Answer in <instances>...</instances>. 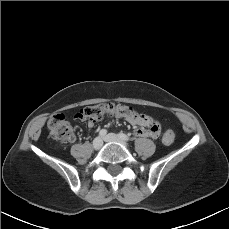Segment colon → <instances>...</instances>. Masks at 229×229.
Returning <instances> with one entry per match:
<instances>
[{
    "label": "colon",
    "mask_w": 229,
    "mask_h": 229,
    "mask_svg": "<svg viewBox=\"0 0 229 229\" xmlns=\"http://www.w3.org/2000/svg\"><path fill=\"white\" fill-rule=\"evenodd\" d=\"M117 114L124 116H135L136 110L128 104L121 103H103L87 106L79 110L78 118L88 121H98L103 116ZM48 130L50 136L55 141H67L73 138V127L62 113H55L48 121ZM176 139L173 130H167L162 137L163 143L170 145Z\"/></svg>",
    "instance_id": "colon-1"
}]
</instances>
